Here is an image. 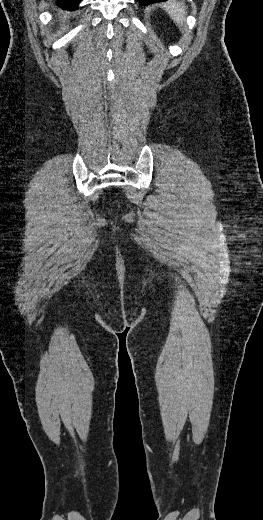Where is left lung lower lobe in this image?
Wrapping results in <instances>:
<instances>
[{
  "instance_id": "obj_1",
  "label": "left lung lower lobe",
  "mask_w": 263,
  "mask_h": 520,
  "mask_svg": "<svg viewBox=\"0 0 263 520\" xmlns=\"http://www.w3.org/2000/svg\"><path fill=\"white\" fill-rule=\"evenodd\" d=\"M141 2V4L143 5H148V4H151V3H154V2H160V1H165V0H138Z\"/></svg>"
}]
</instances>
